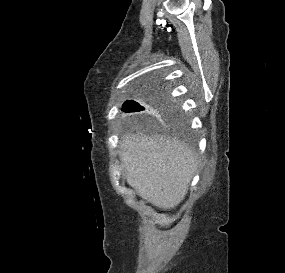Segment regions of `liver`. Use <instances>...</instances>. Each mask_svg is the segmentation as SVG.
Here are the masks:
<instances>
[{"instance_id": "liver-1", "label": "liver", "mask_w": 285, "mask_h": 273, "mask_svg": "<svg viewBox=\"0 0 285 273\" xmlns=\"http://www.w3.org/2000/svg\"><path fill=\"white\" fill-rule=\"evenodd\" d=\"M120 148L126 181L140 197L163 210L184 200L197 168L189 147L158 135L126 134Z\"/></svg>"}]
</instances>
